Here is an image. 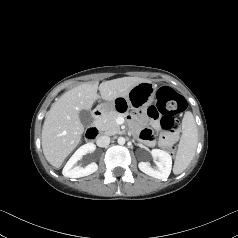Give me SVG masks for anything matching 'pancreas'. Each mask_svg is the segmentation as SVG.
Returning <instances> with one entry per match:
<instances>
[{
	"label": "pancreas",
	"instance_id": "pancreas-1",
	"mask_svg": "<svg viewBox=\"0 0 238 238\" xmlns=\"http://www.w3.org/2000/svg\"><path fill=\"white\" fill-rule=\"evenodd\" d=\"M119 116H124L117 111L109 112L105 117L97 121L96 127L99 131L104 132L107 135H114L120 132V126L116 123V119Z\"/></svg>",
	"mask_w": 238,
	"mask_h": 238
}]
</instances>
